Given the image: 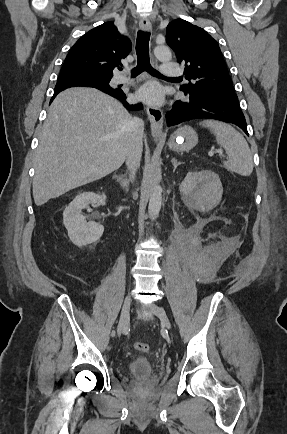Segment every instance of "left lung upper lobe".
Returning <instances> with one entry per match:
<instances>
[{"mask_svg":"<svg viewBox=\"0 0 287 434\" xmlns=\"http://www.w3.org/2000/svg\"><path fill=\"white\" fill-rule=\"evenodd\" d=\"M166 32L167 44L175 52L177 61L185 63V78L193 80L180 87L185 95L205 92L238 98L216 40L183 19L171 21Z\"/></svg>","mask_w":287,"mask_h":434,"instance_id":"5c2ea615","label":"left lung upper lobe"}]
</instances>
